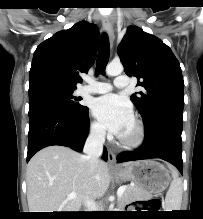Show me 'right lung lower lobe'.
Masks as SVG:
<instances>
[{"mask_svg":"<svg viewBox=\"0 0 203 219\" xmlns=\"http://www.w3.org/2000/svg\"><path fill=\"white\" fill-rule=\"evenodd\" d=\"M88 127V108L75 113L52 103L29 104L27 162L47 146L61 145L81 151L88 135ZM103 158L107 160L106 150Z\"/></svg>","mask_w":203,"mask_h":219,"instance_id":"98d812e1","label":"right lung lower lobe"}]
</instances>
